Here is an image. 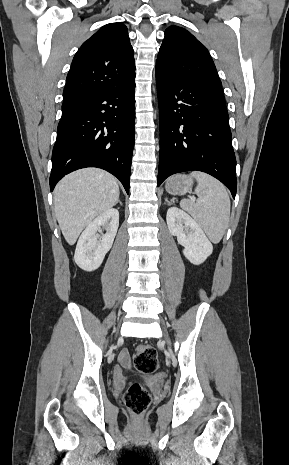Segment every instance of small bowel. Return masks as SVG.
Wrapping results in <instances>:
<instances>
[{"instance_id": "obj_1", "label": "small bowel", "mask_w": 289, "mask_h": 465, "mask_svg": "<svg viewBox=\"0 0 289 465\" xmlns=\"http://www.w3.org/2000/svg\"><path fill=\"white\" fill-rule=\"evenodd\" d=\"M118 360L123 367H130L131 365L130 355L126 349L119 353Z\"/></svg>"}]
</instances>
